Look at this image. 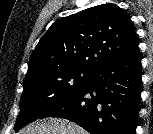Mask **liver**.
<instances>
[{"instance_id":"obj_1","label":"liver","mask_w":153,"mask_h":134,"mask_svg":"<svg viewBox=\"0 0 153 134\" xmlns=\"http://www.w3.org/2000/svg\"><path fill=\"white\" fill-rule=\"evenodd\" d=\"M19 134H87L77 124L61 118H47L29 125Z\"/></svg>"}]
</instances>
